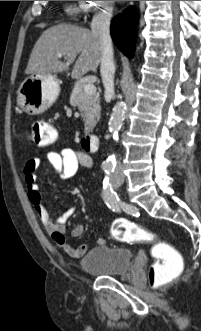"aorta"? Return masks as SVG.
<instances>
[{
  "mask_svg": "<svg viewBox=\"0 0 201 331\" xmlns=\"http://www.w3.org/2000/svg\"><path fill=\"white\" fill-rule=\"evenodd\" d=\"M125 111H126V105L122 100L118 101L113 108L111 117L108 122V128L114 140L118 139V133L125 119ZM114 164H115V158L114 155H111L106 159L102 167L104 170H111L113 169Z\"/></svg>",
  "mask_w": 201,
  "mask_h": 331,
  "instance_id": "aorta-1",
  "label": "aorta"
}]
</instances>
